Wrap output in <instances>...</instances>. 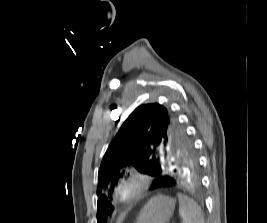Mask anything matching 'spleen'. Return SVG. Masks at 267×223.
Segmentation results:
<instances>
[{"instance_id": "obj_1", "label": "spleen", "mask_w": 267, "mask_h": 223, "mask_svg": "<svg viewBox=\"0 0 267 223\" xmlns=\"http://www.w3.org/2000/svg\"><path fill=\"white\" fill-rule=\"evenodd\" d=\"M179 214L183 223H204V216L198 204L186 195L178 194Z\"/></svg>"}]
</instances>
